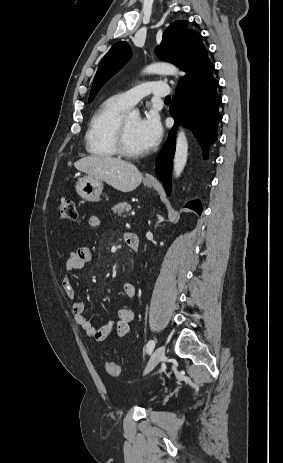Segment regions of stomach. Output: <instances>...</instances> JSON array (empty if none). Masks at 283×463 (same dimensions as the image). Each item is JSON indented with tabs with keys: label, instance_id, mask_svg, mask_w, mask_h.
Returning <instances> with one entry per match:
<instances>
[{
	"label": "stomach",
	"instance_id": "0dacf381",
	"mask_svg": "<svg viewBox=\"0 0 283 463\" xmlns=\"http://www.w3.org/2000/svg\"><path fill=\"white\" fill-rule=\"evenodd\" d=\"M147 187H152L153 183L145 182ZM76 192L84 200L97 202L103 190V183L100 179L91 176H85L76 183Z\"/></svg>",
	"mask_w": 283,
	"mask_h": 463
}]
</instances>
